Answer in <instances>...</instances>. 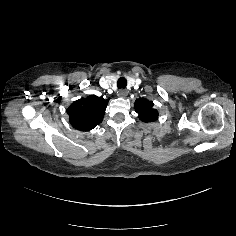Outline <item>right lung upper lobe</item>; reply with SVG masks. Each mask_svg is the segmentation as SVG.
I'll return each mask as SVG.
<instances>
[{
	"label": "right lung upper lobe",
	"instance_id": "obj_1",
	"mask_svg": "<svg viewBox=\"0 0 236 236\" xmlns=\"http://www.w3.org/2000/svg\"><path fill=\"white\" fill-rule=\"evenodd\" d=\"M108 100L96 95L74 101L67 113L72 126L80 131H89L100 124L106 110Z\"/></svg>",
	"mask_w": 236,
	"mask_h": 236
}]
</instances>
